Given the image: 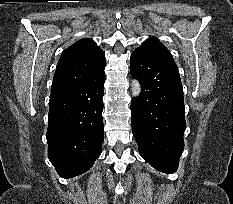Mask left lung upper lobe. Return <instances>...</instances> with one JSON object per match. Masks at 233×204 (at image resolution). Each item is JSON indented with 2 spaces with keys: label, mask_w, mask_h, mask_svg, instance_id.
<instances>
[{
  "label": "left lung upper lobe",
  "mask_w": 233,
  "mask_h": 204,
  "mask_svg": "<svg viewBox=\"0 0 233 204\" xmlns=\"http://www.w3.org/2000/svg\"><path fill=\"white\" fill-rule=\"evenodd\" d=\"M137 49H141L153 53L155 55H158L160 57L173 60L168 49L162 43H160L159 40L155 37H151L145 40L142 46L138 47Z\"/></svg>",
  "instance_id": "left-lung-upper-lobe-1"
}]
</instances>
